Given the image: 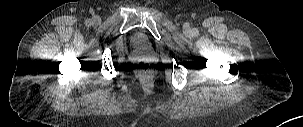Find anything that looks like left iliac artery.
Segmentation results:
<instances>
[{"mask_svg": "<svg viewBox=\"0 0 303 127\" xmlns=\"http://www.w3.org/2000/svg\"><path fill=\"white\" fill-rule=\"evenodd\" d=\"M194 34L196 35V34H198V30L197 29H194Z\"/></svg>", "mask_w": 303, "mask_h": 127, "instance_id": "left-iliac-artery-1", "label": "left iliac artery"}]
</instances>
